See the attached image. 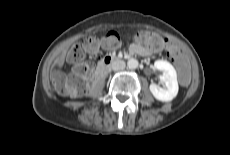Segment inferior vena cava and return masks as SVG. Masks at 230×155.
I'll return each mask as SVG.
<instances>
[{
  "instance_id": "inferior-vena-cava-1",
  "label": "inferior vena cava",
  "mask_w": 230,
  "mask_h": 155,
  "mask_svg": "<svg viewBox=\"0 0 230 155\" xmlns=\"http://www.w3.org/2000/svg\"><path fill=\"white\" fill-rule=\"evenodd\" d=\"M111 68L115 71L117 70H121V69H124L125 68V62L124 61H116L112 64Z\"/></svg>"
}]
</instances>
